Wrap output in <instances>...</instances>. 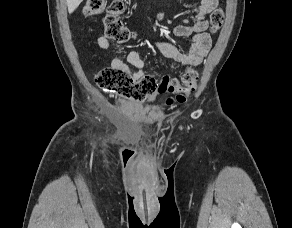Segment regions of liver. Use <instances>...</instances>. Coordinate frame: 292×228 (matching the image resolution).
<instances>
[{
    "mask_svg": "<svg viewBox=\"0 0 292 228\" xmlns=\"http://www.w3.org/2000/svg\"><path fill=\"white\" fill-rule=\"evenodd\" d=\"M83 0H67L68 12L71 14L80 5Z\"/></svg>",
    "mask_w": 292,
    "mask_h": 228,
    "instance_id": "liver-1",
    "label": "liver"
}]
</instances>
